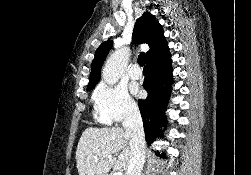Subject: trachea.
I'll list each match as a JSON object with an SVG mask.
<instances>
[{
  "instance_id": "obj_1",
  "label": "trachea",
  "mask_w": 251,
  "mask_h": 175,
  "mask_svg": "<svg viewBox=\"0 0 251 175\" xmlns=\"http://www.w3.org/2000/svg\"><path fill=\"white\" fill-rule=\"evenodd\" d=\"M146 61V55L145 53H140V55L138 56V64L143 67Z\"/></svg>"
}]
</instances>
